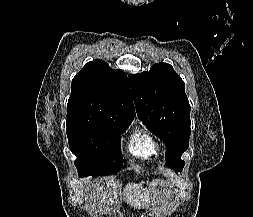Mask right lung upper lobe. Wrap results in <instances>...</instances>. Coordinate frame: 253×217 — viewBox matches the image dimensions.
I'll return each instance as SVG.
<instances>
[{
    "instance_id": "1",
    "label": "right lung upper lobe",
    "mask_w": 253,
    "mask_h": 217,
    "mask_svg": "<svg viewBox=\"0 0 253 217\" xmlns=\"http://www.w3.org/2000/svg\"><path fill=\"white\" fill-rule=\"evenodd\" d=\"M130 78L102 60L88 62L72 80L67 115L132 121L135 111Z\"/></svg>"
}]
</instances>
